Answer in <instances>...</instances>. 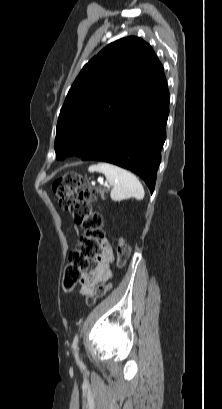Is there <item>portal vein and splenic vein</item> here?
Here are the masks:
<instances>
[{"label":"portal vein and splenic vein","mask_w":222,"mask_h":409,"mask_svg":"<svg viewBox=\"0 0 222 409\" xmlns=\"http://www.w3.org/2000/svg\"><path fill=\"white\" fill-rule=\"evenodd\" d=\"M98 182H99L100 184H102V185L105 184L104 181H103V179H98Z\"/></svg>","instance_id":"1"}]
</instances>
